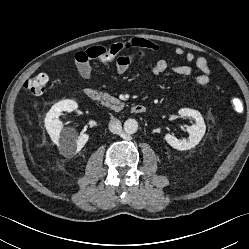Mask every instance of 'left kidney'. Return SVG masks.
<instances>
[{
  "mask_svg": "<svg viewBox=\"0 0 249 249\" xmlns=\"http://www.w3.org/2000/svg\"><path fill=\"white\" fill-rule=\"evenodd\" d=\"M178 114L180 117L192 118L196 121V123L187 127V132L189 133L187 140L181 141L171 134H166L165 140L174 149L180 151L189 150L199 144L205 134L206 125L199 111L189 108H182L178 111Z\"/></svg>",
  "mask_w": 249,
  "mask_h": 249,
  "instance_id": "left-kidney-1",
  "label": "left kidney"
}]
</instances>
